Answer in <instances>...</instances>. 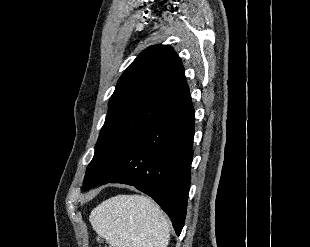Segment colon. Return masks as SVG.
Here are the masks:
<instances>
[{
  "label": "colon",
  "instance_id": "5ec220e1",
  "mask_svg": "<svg viewBox=\"0 0 310 247\" xmlns=\"http://www.w3.org/2000/svg\"><path fill=\"white\" fill-rule=\"evenodd\" d=\"M99 247H112L105 239H99Z\"/></svg>",
  "mask_w": 310,
  "mask_h": 247
}]
</instances>
